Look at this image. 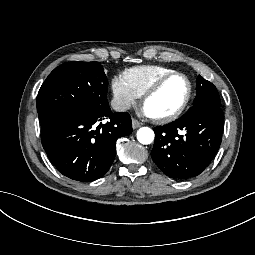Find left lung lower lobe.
<instances>
[{
  "instance_id": "0a47b994",
  "label": "left lung lower lobe",
  "mask_w": 255,
  "mask_h": 255,
  "mask_svg": "<svg viewBox=\"0 0 255 255\" xmlns=\"http://www.w3.org/2000/svg\"><path fill=\"white\" fill-rule=\"evenodd\" d=\"M224 128L220 107L199 103L181 118L154 128L151 157L167 176L187 180L201 174L217 153Z\"/></svg>"
}]
</instances>
